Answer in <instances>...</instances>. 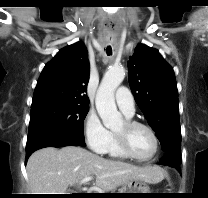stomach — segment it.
Masks as SVG:
<instances>
[{"mask_svg":"<svg viewBox=\"0 0 208 198\" xmlns=\"http://www.w3.org/2000/svg\"><path fill=\"white\" fill-rule=\"evenodd\" d=\"M124 198H145L146 194L138 193H151L149 186L140 180H132L122 186L118 192ZM137 193V194H136Z\"/></svg>","mask_w":208,"mask_h":198,"instance_id":"0dacf381","label":"stomach"}]
</instances>
